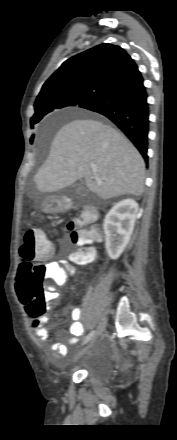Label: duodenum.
I'll return each instance as SVG.
<instances>
[{
  "label": "duodenum",
  "instance_id": "obj_1",
  "mask_svg": "<svg viewBox=\"0 0 177 440\" xmlns=\"http://www.w3.org/2000/svg\"><path fill=\"white\" fill-rule=\"evenodd\" d=\"M69 206H70V202L67 199H62L57 203V210L58 211L66 210L69 208Z\"/></svg>",
  "mask_w": 177,
  "mask_h": 440
}]
</instances>
